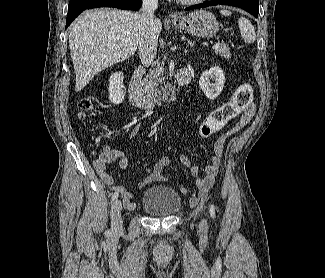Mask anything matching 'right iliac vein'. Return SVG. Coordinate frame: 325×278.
Here are the masks:
<instances>
[{"instance_id": "63e3f726", "label": "right iliac vein", "mask_w": 325, "mask_h": 278, "mask_svg": "<svg viewBox=\"0 0 325 278\" xmlns=\"http://www.w3.org/2000/svg\"><path fill=\"white\" fill-rule=\"evenodd\" d=\"M121 211V201L115 200L111 208V227L114 235L119 234L122 231Z\"/></svg>"}]
</instances>
